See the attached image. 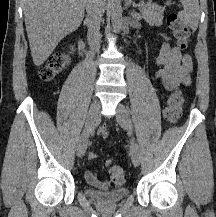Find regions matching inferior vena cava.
Segmentation results:
<instances>
[{
  "label": "inferior vena cava",
  "instance_id": "602c4592",
  "mask_svg": "<svg viewBox=\"0 0 216 217\" xmlns=\"http://www.w3.org/2000/svg\"><path fill=\"white\" fill-rule=\"evenodd\" d=\"M85 8L87 12L86 23L88 27L87 37L91 46L96 50L100 47V22L104 13L103 0H86Z\"/></svg>",
  "mask_w": 216,
  "mask_h": 217
}]
</instances>
